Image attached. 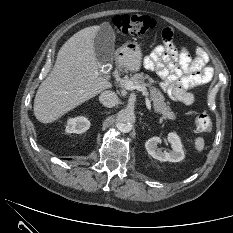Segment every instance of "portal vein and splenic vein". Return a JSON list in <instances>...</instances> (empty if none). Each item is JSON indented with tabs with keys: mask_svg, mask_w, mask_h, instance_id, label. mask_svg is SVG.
I'll return each mask as SVG.
<instances>
[{
	"mask_svg": "<svg viewBox=\"0 0 233 233\" xmlns=\"http://www.w3.org/2000/svg\"><path fill=\"white\" fill-rule=\"evenodd\" d=\"M124 88L126 90H134V89H136L138 91H141L142 94H143V96L145 97V103H146V106H147L148 110H151V102H150V100L148 98V93H147L146 88L144 86H142V85H135L133 82L128 81V82L125 83Z\"/></svg>",
	"mask_w": 233,
	"mask_h": 233,
	"instance_id": "obj_1",
	"label": "portal vein and splenic vein"
}]
</instances>
